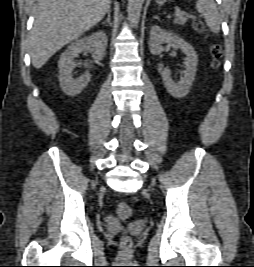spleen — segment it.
Masks as SVG:
<instances>
[{
	"label": "spleen",
	"mask_w": 254,
	"mask_h": 267,
	"mask_svg": "<svg viewBox=\"0 0 254 267\" xmlns=\"http://www.w3.org/2000/svg\"><path fill=\"white\" fill-rule=\"evenodd\" d=\"M196 10L203 16L207 26L218 33L221 25V18L214 0H197Z\"/></svg>",
	"instance_id": "spleen-1"
}]
</instances>
